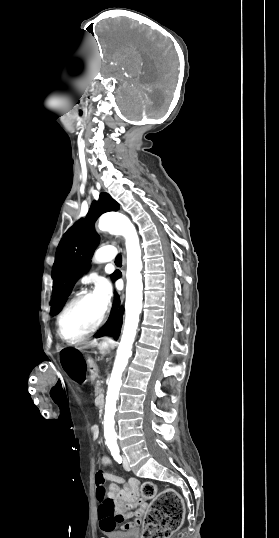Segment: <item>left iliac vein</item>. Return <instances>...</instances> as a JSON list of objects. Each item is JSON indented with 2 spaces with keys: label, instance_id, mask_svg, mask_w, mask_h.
<instances>
[{
  "label": "left iliac vein",
  "instance_id": "left-iliac-vein-1",
  "mask_svg": "<svg viewBox=\"0 0 279 538\" xmlns=\"http://www.w3.org/2000/svg\"><path fill=\"white\" fill-rule=\"evenodd\" d=\"M123 467L126 471H130V465L126 456H123Z\"/></svg>",
  "mask_w": 279,
  "mask_h": 538
}]
</instances>
